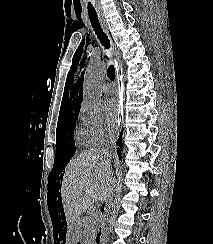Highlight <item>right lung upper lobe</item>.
Returning <instances> with one entry per match:
<instances>
[{
  "label": "right lung upper lobe",
  "mask_w": 213,
  "mask_h": 244,
  "mask_svg": "<svg viewBox=\"0 0 213 244\" xmlns=\"http://www.w3.org/2000/svg\"><path fill=\"white\" fill-rule=\"evenodd\" d=\"M77 64L74 68V71L72 70L69 71V75L75 72V70L77 69ZM83 66L84 64L81 62L80 68H83ZM81 100H82V88L80 85V78H78V81L74 85L72 84V86L70 87V92H69V88L67 91L64 92L61 108H60V114L73 109H77V108L80 109Z\"/></svg>",
  "instance_id": "obj_1"
}]
</instances>
